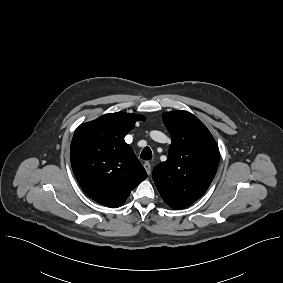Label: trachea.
<instances>
[{"mask_svg": "<svg viewBox=\"0 0 283 283\" xmlns=\"http://www.w3.org/2000/svg\"><path fill=\"white\" fill-rule=\"evenodd\" d=\"M141 158L143 160H150L152 159V151L149 147H145L141 152Z\"/></svg>", "mask_w": 283, "mask_h": 283, "instance_id": "obj_1", "label": "trachea"}]
</instances>
